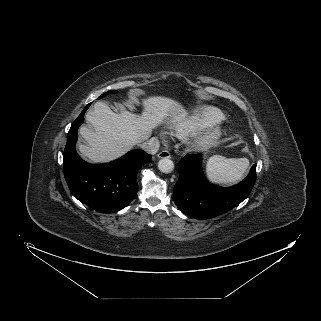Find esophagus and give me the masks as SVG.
Instances as JSON below:
<instances>
[{
  "instance_id": "obj_1",
  "label": "esophagus",
  "mask_w": 321,
  "mask_h": 321,
  "mask_svg": "<svg viewBox=\"0 0 321 321\" xmlns=\"http://www.w3.org/2000/svg\"><path fill=\"white\" fill-rule=\"evenodd\" d=\"M158 158H170V153L166 150H163L157 154Z\"/></svg>"
}]
</instances>
